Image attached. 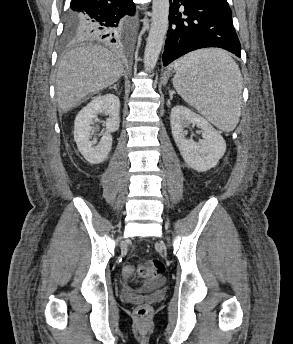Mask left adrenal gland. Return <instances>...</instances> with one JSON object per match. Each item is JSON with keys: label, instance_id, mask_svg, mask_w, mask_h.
<instances>
[{"label": "left adrenal gland", "instance_id": "1", "mask_svg": "<svg viewBox=\"0 0 293 344\" xmlns=\"http://www.w3.org/2000/svg\"><path fill=\"white\" fill-rule=\"evenodd\" d=\"M169 94H170V99H173V95L175 94V91L173 90H169Z\"/></svg>", "mask_w": 293, "mask_h": 344}]
</instances>
